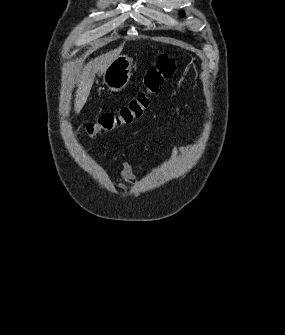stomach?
<instances>
[{"instance_id": "1", "label": "stomach", "mask_w": 285, "mask_h": 335, "mask_svg": "<svg viewBox=\"0 0 285 335\" xmlns=\"http://www.w3.org/2000/svg\"><path fill=\"white\" fill-rule=\"evenodd\" d=\"M132 74V60L129 56H116L103 72V82L111 92H120L127 86Z\"/></svg>"}]
</instances>
